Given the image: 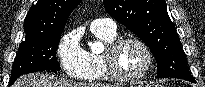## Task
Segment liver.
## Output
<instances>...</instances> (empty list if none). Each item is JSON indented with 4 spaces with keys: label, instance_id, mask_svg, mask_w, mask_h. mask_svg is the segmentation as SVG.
Instances as JSON below:
<instances>
[{
    "label": "liver",
    "instance_id": "1",
    "mask_svg": "<svg viewBox=\"0 0 205 87\" xmlns=\"http://www.w3.org/2000/svg\"><path fill=\"white\" fill-rule=\"evenodd\" d=\"M12 87H117L109 84H86L73 82L53 75L41 73L21 76Z\"/></svg>",
    "mask_w": 205,
    "mask_h": 87
}]
</instances>
